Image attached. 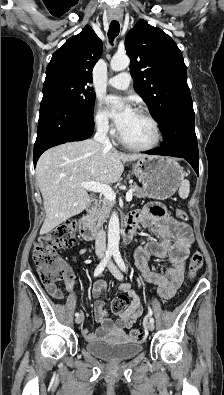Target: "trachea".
Wrapping results in <instances>:
<instances>
[{"mask_svg":"<svg viewBox=\"0 0 224 395\" xmlns=\"http://www.w3.org/2000/svg\"><path fill=\"white\" fill-rule=\"evenodd\" d=\"M119 29H120L119 22L112 21L110 23V27H109V31H108V38H109L111 44H112L113 40L119 34Z\"/></svg>","mask_w":224,"mask_h":395,"instance_id":"trachea-1","label":"trachea"}]
</instances>
